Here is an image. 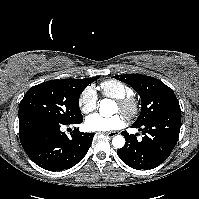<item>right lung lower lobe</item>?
Listing matches in <instances>:
<instances>
[{"instance_id":"98d812e1","label":"right lung lower lobe","mask_w":199,"mask_h":199,"mask_svg":"<svg viewBox=\"0 0 199 199\" xmlns=\"http://www.w3.org/2000/svg\"><path fill=\"white\" fill-rule=\"evenodd\" d=\"M82 121L83 117L70 123L38 116L19 118L21 145L38 166L49 171L69 169L84 158L94 133H82L77 129L68 137L62 128Z\"/></svg>"}]
</instances>
